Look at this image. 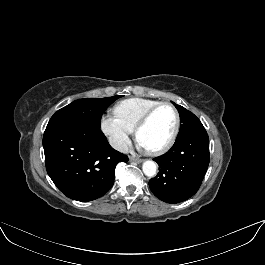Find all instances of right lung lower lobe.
<instances>
[{"label": "right lung lower lobe", "instance_id": "right-lung-lower-lobe-1", "mask_svg": "<svg viewBox=\"0 0 265 265\" xmlns=\"http://www.w3.org/2000/svg\"><path fill=\"white\" fill-rule=\"evenodd\" d=\"M45 164L57 188L73 200L103 196L116 165L128 157L114 150L100 128L72 120L50 121L43 136Z\"/></svg>", "mask_w": 265, "mask_h": 265}]
</instances>
